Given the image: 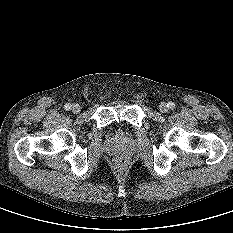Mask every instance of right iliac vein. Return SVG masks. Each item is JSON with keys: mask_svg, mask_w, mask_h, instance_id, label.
I'll use <instances>...</instances> for the list:
<instances>
[{"mask_svg": "<svg viewBox=\"0 0 233 233\" xmlns=\"http://www.w3.org/2000/svg\"><path fill=\"white\" fill-rule=\"evenodd\" d=\"M71 110H72L73 113H79L80 110H81V107H80L79 104H74V105L72 106Z\"/></svg>", "mask_w": 233, "mask_h": 233, "instance_id": "1", "label": "right iliac vein"}]
</instances>
